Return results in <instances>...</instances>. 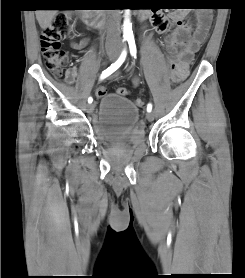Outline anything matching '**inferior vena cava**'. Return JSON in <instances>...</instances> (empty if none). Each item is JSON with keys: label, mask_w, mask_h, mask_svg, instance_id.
<instances>
[{"label": "inferior vena cava", "mask_w": 245, "mask_h": 278, "mask_svg": "<svg viewBox=\"0 0 245 278\" xmlns=\"http://www.w3.org/2000/svg\"><path fill=\"white\" fill-rule=\"evenodd\" d=\"M120 41V14L114 10L108 13V26L106 42L118 43Z\"/></svg>", "instance_id": "obj_1"}]
</instances>
